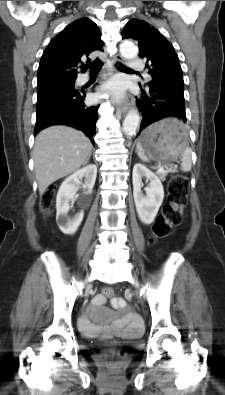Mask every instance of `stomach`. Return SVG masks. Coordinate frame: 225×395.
Returning <instances> with one entry per match:
<instances>
[{"label":"stomach","instance_id":"obj_1","mask_svg":"<svg viewBox=\"0 0 225 395\" xmlns=\"http://www.w3.org/2000/svg\"><path fill=\"white\" fill-rule=\"evenodd\" d=\"M137 144L151 158L167 162L187 148V132L178 119L165 118L149 126Z\"/></svg>","mask_w":225,"mask_h":395}]
</instances>
